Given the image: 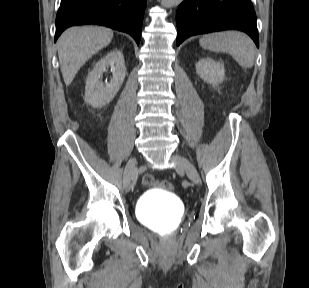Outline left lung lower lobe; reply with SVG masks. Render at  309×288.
Listing matches in <instances>:
<instances>
[{
	"mask_svg": "<svg viewBox=\"0 0 309 288\" xmlns=\"http://www.w3.org/2000/svg\"><path fill=\"white\" fill-rule=\"evenodd\" d=\"M177 46L186 38L227 29L246 32L259 47L251 0H184L177 9Z\"/></svg>",
	"mask_w": 309,
	"mask_h": 288,
	"instance_id": "left-lung-lower-lobe-1",
	"label": "left lung lower lobe"
}]
</instances>
